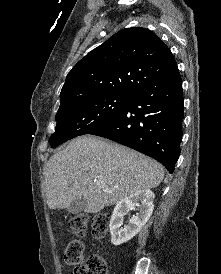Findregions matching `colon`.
Wrapping results in <instances>:
<instances>
[{
    "label": "colon",
    "mask_w": 221,
    "mask_h": 274,
    "mask_svg": "<svg viewBox=\"0 0 221 274\" xmlns=\"http://www.w3.org/2000/svg\"><path fill=\"white\" fill-rule=\"evenodd\" d=\"M89 223L95 238L102 239L106 236L109 229V217L106 214H96L92 217L76 214L70 218L69 227L73 233L83 235ZM64 261L74 267L71 274H108L107 263L103 257L91 255L84 259V245L78 239H73L66 245Z\"/></svg>",
    "instance_id": "obj_1"
}]
</instances>
